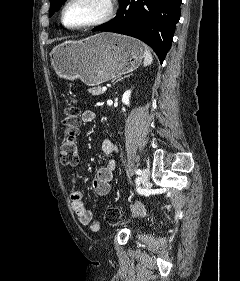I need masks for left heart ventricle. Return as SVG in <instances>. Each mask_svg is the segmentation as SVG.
Listing matches in <instances>:
<instances>
[{
	"label": "left heart ventricle",
	"mask_w": 240,
	"mask_h": 281,
	"mask_svg": "<svg viewBox=\"0 0 240 281\" xmlns=\"http://www.w3.org/2000/svg\"><path fill=\"white\" fill-rule=\"evenodd\" d=\"M105 0H74L67 8L64 20L69 26L88 23L105 11Z\"/></svg>",
	"instance_id": "1"
}]
</instances>
